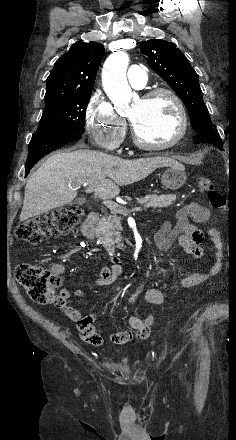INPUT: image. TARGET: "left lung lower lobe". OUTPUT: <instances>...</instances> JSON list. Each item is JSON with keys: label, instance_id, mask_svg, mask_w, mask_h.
Listing matches in <instances>:
<instances>
[{"label": "left lung lower lobe", "instance_id": "left-lung-lower-lobe-1", "mask_svg": "<svg viewBox=\"0 0 236 440\" xmlns=\"http://www.w3.org/2000/svg\"><path fill=\"white\" fill-rule=\"evenodd\" d=\"M202 142H208L214 144L220 150H222L221 139L219 137V134L215 131L213 127L198 132V135L196 136L194 143L198 144Z\"/></svg>", "mask_w": 236, "mask_h": 440}]
</instances>
